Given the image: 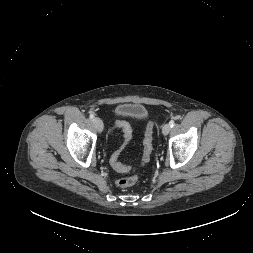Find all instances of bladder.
<instances>
[{
    "label": "bladder",
    "mask_w": 253,
    "mask_h": 253,
    "mask_svg": "<svg viewBox=\"0 0 253 253\" xmlns=\"http://www.w3.org/2000/svg\"><path fill=\"white\" fill-rule=\"evenodd\" d=\"M115 115L119 118L144 120L148 117V111L142 104L124 103L116 107Z\"/></svg>",
    "instance_id": "bladder-1"
}]
</instances>
